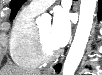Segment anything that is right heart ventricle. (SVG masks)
Wrapping results in <instances>:
<instances>
[{"instance_id":"right-heart-ventricle-1","label":"right heart ventricle","mask_w":102,"mask_h":75,"mask_svg":"<svg viewBox=\"0 0 102 75\" xmlns=\"http://www.w3.org/2000/svg\"><path fill=\"white\" fill-rule=\"evenodd\" d=\"M38 14L26 6L18 13L13 24L9 51L12 60L21 67L36 68L40 64L34 46Z\"/></svg>"}]
</instances>
